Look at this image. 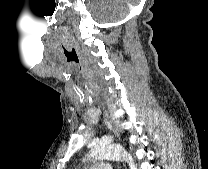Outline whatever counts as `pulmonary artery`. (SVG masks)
Instances as JSON below:
<instances>
[{"mask_svg":"<svg viewBox=\"0 0 208 169\" xmlns=\"http://www.w3.org/2000/svg\"><path fill=\"white\" fill-rule=\"evenodd\" d=\"M93 169H112L111 164L107 160H102L92 167Z\"/></svg>","mask_w":208,"mask_h":169,"instance_id":"obj_1","label":"pulmonary artery"}]
</instances>
